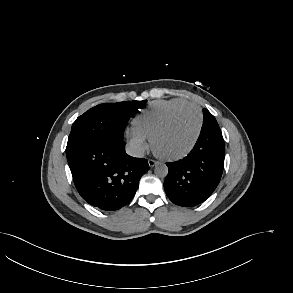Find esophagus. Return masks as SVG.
Here are the masks:
<instances>
[{"mask_svg":"<svg viewBox=\"0 0 293 293\" xmlns=\"http://www.w3.org/2000/svg\"><path fill=\"white\" fill-rule=\"evenodd\" d=\"M156 164H157V161H155V160H153V159H149V160H148V165H149L150 167H154Z\"/></svg>","mask_w":293,"mask_h":293,"instance_id":"34e87169","label":"esophagus"}]
</instances>
